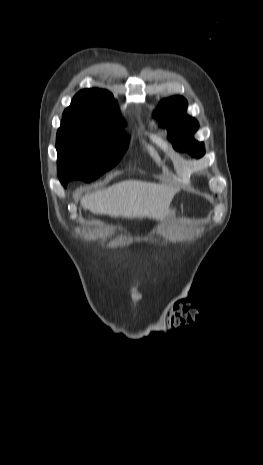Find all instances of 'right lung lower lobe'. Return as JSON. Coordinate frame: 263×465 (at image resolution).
Instances as JSON below:
<instances>
[{"instance_id": "1", "label": "right lung lower lobe", "mask_w": 263, "mask_h": 465, "mask_svg": "<svg viewBox=\"0 0 263 465\" xmlns=\"http://www.w3.org/2000/svg\"><path fill=\"white\" fill-rule=\"evenodd\" d=\"M61 183L66 187V185H67V182H66V181L61 180Z\"/></svg>"}]
</instances>
